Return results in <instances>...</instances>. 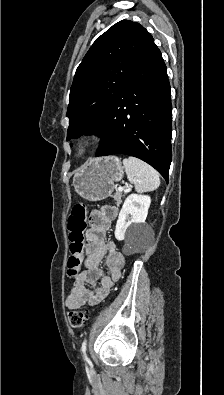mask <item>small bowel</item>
<instances>
[{"label":"small bowel","mask_w":224,"mask_h":395,"mask_svg":"<svg viewBox=\"0 0 224 395\" xmlns=\"http://www.w3.org/2000/svg\"><path fill=\"white\" fill-rule=\"evenodd\" d=\"M118 210L108 206L102 211L91 214V225L86 233V257L83 260L85 269L76 277L66 298L69 309L79 308L84 304L96 305L104 300L114 283L120 278L124 267V257L114 242L105 239L107 230L116 219ZM105 261L108 274L100 267Z\"/></svg>","instance_id":"c3829d8e"}]
</instances>
